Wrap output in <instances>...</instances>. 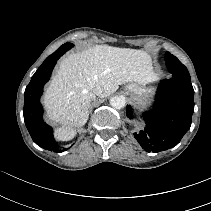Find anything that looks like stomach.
I'll return each mask as SVG.
<instances>
[{"instance_id":"obj_1","label":"stomach","mask_w":211,"mask_h":211,"mask_svg":"<svg viewBox=\"0 0 211 211\" xmlns=\"http://www.w3.org/2000/svg\"><path fill=\"white\" fill-rule=\"evenodd\" d=\"M124 92L130 96L132 101L139 105H149L152 103L153 88H146L144 85L130 83L126 85Z\"/></svg>"}]
</instances>
